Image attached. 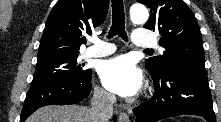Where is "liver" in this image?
<instances>
[{
  "instance_id": "obj_1",
  "label": "liver",
  "mask_w": 221,
  "mask_h": 122,
  "mask_svg": "<svg viewBox=\"0 0 221 122\" xmlns=\"http://www.w3.org/2000/svg\"><path fill=\"white\" fill-rule=\"evenodd\" d=\"M27 122H93V119L87 107L51 105L36 110Z\"/></svg>"
}]
</instances>
